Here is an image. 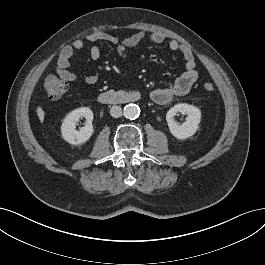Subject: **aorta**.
<instances>
[{
	"instance_id": "obj_1",
	"label": "aorta",
	"mask_w": 265,
	"mask_h": 265,
	"mask_svg": "<svg viewBox=\"0 0 265 265\" xmlns=\"http://www.w3.org/2000/svg\"><path fill=\"white\" fill-rule=\"evenodd\" d=\"M123 114L127 119H136L140 114V108L136 104H127L124 107Z\"/></svg>"
}]
</instances>
